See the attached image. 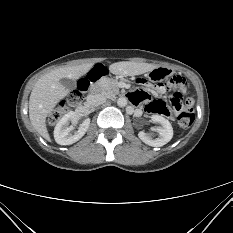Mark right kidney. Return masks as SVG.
I'll return each mask as SVG.
<instances>
[{
	"label": "right kidney",
	"instance_id": "1",
	"mask_svg": "<svg viewBox=\"0 0 233 233\" xmlns=\"http://www.w3.org/2000/svg\"><path fill=\"white\" fill-rule=\"evenodd\" d=\"M76 119V113L73 111L65 114L59 122L56 124L54 129L55 141L60 145H71L81 139L87 132L90 119L86 118L79 126L78 131L71 134L73 126H68L69 121H74Z\"/></svg>",
	"mask_w": 233,
	"mask_h": 233
}]
</instances>
